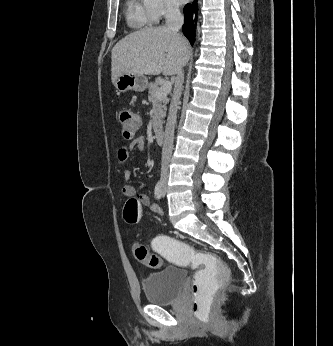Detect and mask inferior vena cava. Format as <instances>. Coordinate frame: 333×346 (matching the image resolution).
Instances as JSON below:
<instances>
[{
	"label": "inferior vena cava",
	"mask_w": 333,
	"mask_h": 346,
	"mask_svg": "<svg viewBox=\"0 0 333 346\" xmlns=\"http://www.w3.org/2000/svg\"><path fill=\"white\" fill-rule=\"evenodd\" d=\"M166 28L174 33H178L180 28L184 23V17L180 13V10L175 5H168L166 11ZM184 82V73L180 69L177 73L175 80V87L173 91V97L169 109V115L167 119V124L164 134V144L162 148V162H161V176H168L169 164L173 151V142H174V130L177 118L178 104L183 88Z\"/></svg>",
	"instance_id": "602c4592"
}]
</instances>
